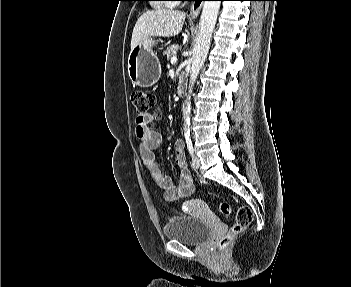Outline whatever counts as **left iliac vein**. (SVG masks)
Returning <instances> with one entry per match:
<instances>
[{
    "label": "left iliac vein",
    "instance_id": "obj_1",
    "mask_svg": "<svg viewBox=\"0 0 351 287\" xmlns=\"http://www.w3.org/2000/svg\"><path fill=\"white\" fill-rule=\"evenodd\" d=\"M192 166L195 169L200 167V159L196 155H192Z\"/></svg>",
    "mask_w": 351,
    "mask_h": 287
}]
</instances>
